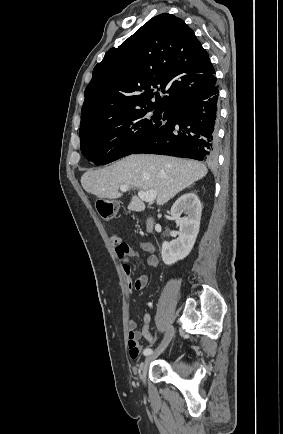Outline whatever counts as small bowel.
I'll use <instances>...</instances> for the list:
<instances>
[{"label":"small bowel","instance_id":"small-bowel-1","mask_svg":"<svg viewBox=\"0 0 283 434\" xmlns=\"http://www.w3.org/2000/svg\"><path fill=\"white\" fill-rule=\"evenodd\" d=\"M112 242L115 246L118 258L122 261V268L127 277V283L130 291L141 290L148 283V276L146 274L140 275L136 280H132V257L139 255V252L124 242L119 237H113ZM141 249L146 253V263L149 267H156L158 265V258L153 253V248L148 243H139ZM143 326L141 330L137 328V323L134 320L129 321L128 331V347L129 354L132 359H137L142 351L140 339L145 338L150 345L155 343V338L150 333V315L146 314L143 319Z\"/></svg>","mask_w":283,"mask_h":434}]
</instances>
